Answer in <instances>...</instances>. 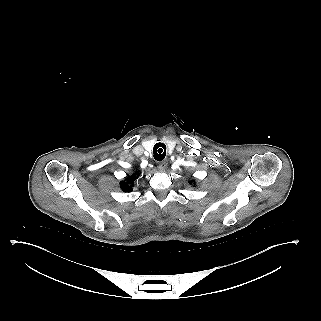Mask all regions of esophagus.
<instances>
[{
    "mask_svg": "<svg viewBox=\"0 0 321 321\" xmlns=\"http://www.w3.org/2000/svg\"><path fill=\"white\" fill-rule=\"evenodd\" d=\"M167 161H163L162 163H160V165L158 166L159 170H164L167 166Z\"/></svg>",
    "mask_w": 321,
    "mask_h": 321,
    "instance_id": "esophagus-1",
    "label": "esophagus"
}]
</instances>
